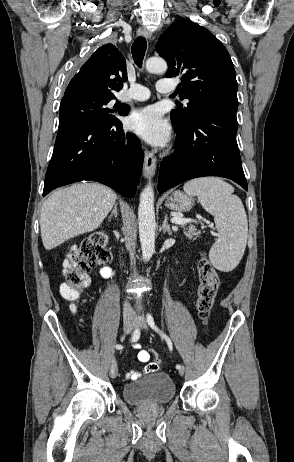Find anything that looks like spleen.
<instances>
[{
	"label": "spleen",
	"instance_id": "obj_1",
	"mask_svg": "<svg viewBox=\"0 0 294 462\" xmlns=\"http://www.w3.org/2000/svg\"><path fill=\"white\" fill-rule=\"evenodd\" d=\"M186 194L198 196L203 208L214 216L219 234L212 245L209 259L224 272L240 262L247 243L248 222L241 199L233 195L234 188L218 177L193 179L184 184Z\"/></svg>",
	"mask_w": 294,
	"mask_h": 462
}]
</instances>
